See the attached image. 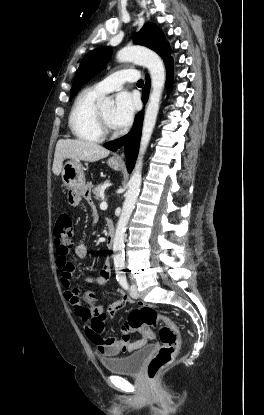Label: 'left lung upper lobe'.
<instances>
[{
    "instance_id": "1",
    "label": "left lung upper lobe",
    "mask_w": 264,
    "mask_h": 415,
    "mask_svg": "<svg viewBox=\"0 0 264 415\" xmlns=\"http://www.w3.org/2000/svg\"><path fill=\"white\" fill-rule=\"evenodd\" d=\"M134 43L137 45L146 46L156 53H158L164 63H167L172 58L169 43L166 41L163 32L153 23H146L142 29L135 35ZM112 54V48L99 47L89 52L81 61L78 70L75 73L73 86L70 92V99H72L80 88L93 76L99 73Z\"/></svg>"
}]
</instances>
